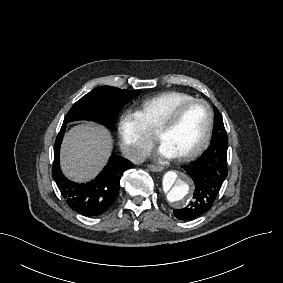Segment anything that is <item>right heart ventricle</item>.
I'll return each instance as SVG.
<instances>
[{
  "label": "right heart ventricle",
  "instance_id": "e07e8e85",
  "mask_svg": "<svg viewBox=\"0 0 283 283\" xmlns=\"http://www.w3.org/2000/svg\"><path fill=\"white\" fill-rule=\"evenodd\" d=\"M192 98L191 94L182 91L164 92L142 101L136 112L142 116L148 129L154 132L161 115L168 114L173 106Z\"/></svg>",
  "mask_w": 283,
  "mask_h": 283
}]
</instances>
